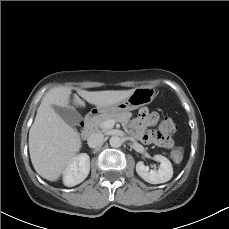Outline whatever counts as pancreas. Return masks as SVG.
I'll return each mask as SVG.
<instances>
[{
    "mask_svg": "<svg viewBox=\"0 0 229 229\" xmlns=\"http://www.w3.org/2000/svg\"><path fill=\"white\" fill-rule=\"evenodd\" d=\"M131 116L130 112H123V113H118V114H113V115H104L99 117L95 121V126L101 128L102 130L106 131L109 128H104L102 124L107 121V120H115L116 122H126Z\"/></svg>",
    "mask_w": 229,
    "mask_h": 229,
    "instance_id": "cf45deb5",
    "label": "pancreas"
}]
</instances>
